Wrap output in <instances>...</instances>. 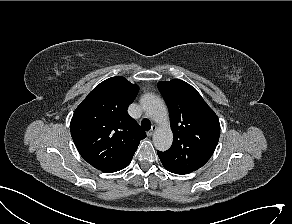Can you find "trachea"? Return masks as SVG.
Wrapping results in <instances>:
<instances>
[{
  "instance_id": "trachea-1",
  "label": "trachea",
  "mask_w": 292,
  "mask_h": 224,
  "mask_svg": "<svg viewBox=\"0 0 292 224\" xmlns=\"http://www.w3.org/2000/svg\"><path fill=\"white\" fill-rule=\"evenodd\" d=\"M141 127L145 130V131H147V130H150V128H151V123H150V121L148 120V119H143L142 121H141Z\"/></svg>"
}]
</instances>
